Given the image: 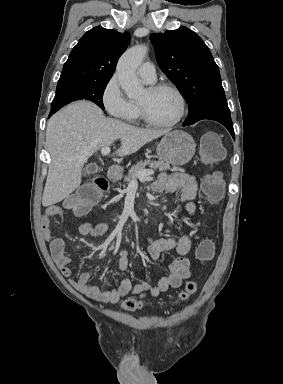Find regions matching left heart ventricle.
<instances>
[{
	"mask_svg": "<svg viewBox=\"0 0 283 384\" xmlns=\"http://www.w3.org/2000/svg\"><path fill=\"white\" fill-rule=\"evenodd\" d=\"M148 116L159 123H168L178 114L179 103L176 96L169 90L151 91L149 87L138 100Z\"/></svg>",
	"mask_w": 283,
	"mask_h": 384,
	"instance_id": "1",
	"label": "left heart ventricle"
}]
</instances>
